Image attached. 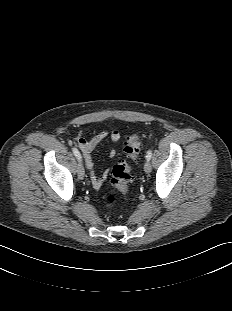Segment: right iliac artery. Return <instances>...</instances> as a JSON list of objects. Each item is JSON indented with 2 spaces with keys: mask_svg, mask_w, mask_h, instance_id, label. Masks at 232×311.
<instances>
[{
  "mask_svg": "<svg viewBox=\"0 0 232 311\" xmlns=\"http://www.w3.org/2000/svg\"><path fill=\"white\" fill-rule=\"evenodd\" d=\"M72 151H73L75 157H76L78 160L81 161V154H80V152H79L76 148H72Z\"/></svg>",
  "mask_w": 232,
  "mask_h": 311,
  "instance_id": "82829eb1",
  "label": "right iliac artery"
}]
</instances>
